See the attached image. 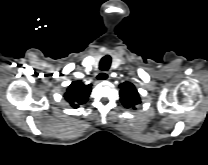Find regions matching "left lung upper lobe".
Masks as SVG:
<instances>
[{"mask_svg": "<svg viewBox=\"0 0 208 165\" xmlns=\"http://www.w3.org/2000/svg\"><path fill=\"white\" fill-rule=\"evenodd\" d=\"M120 101L126 108H133L141 103L139 93L130 82L120 84Z\"/></svg>", "mask_w": 208, "mask_h": 165, "instance_id": "obj_1", "label": "left lung upper lobe"}]
</instances>
